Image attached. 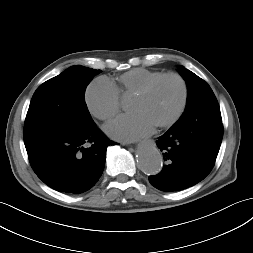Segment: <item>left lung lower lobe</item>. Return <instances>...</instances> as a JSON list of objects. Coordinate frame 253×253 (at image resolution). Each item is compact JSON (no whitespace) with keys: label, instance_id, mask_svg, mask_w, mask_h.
<instances>
[{"label":"left lung lower lobe","instance_id":"0a47b994","mask_svg":"<svg viewBox=\"0 0 253 253\" xmlns=\"http://www.w3.org/2000/svg\"><path fill=\"white\" fill-rule=\"evenodd\" d=\"M223 137L220 121L173 125L157 140L166 165L150 183L162 191H179L203 180L212 170Z\"/></svg>","mask_w":253,"mask_h":253}]
</instances>
